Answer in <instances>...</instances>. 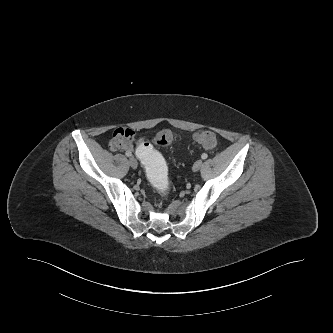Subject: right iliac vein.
<instances>
[{
    "label": "right iliac vein",
    "mask_w": 333,
    "mask_h": 333,
    "mask_svg": "<svg viewBox=\"0 0 333 333\" xmlns=\"http://www.w3.org/2000/svg\"><path fill=\"white\" fill-rule=\"evenodd\" d=\"M129 165L131 166V168L136 169L138 166V162L134 157H131L129 159Z\"/></svg>",
    "instance_id": "right-iliac-vein-1"
}]
</instances>
